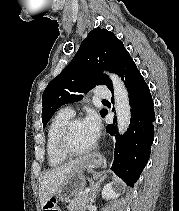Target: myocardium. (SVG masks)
<instances>
[{"instance_id":"f54148a6","label":"myocardium","mask_w":179,"mask_h":211,"mask_svg":"<svg viewBox=\"0 0 179 211\" xmlns=\"http://www.w3.org/2000/svg\"><path fill=\"white\" fill-rule=\"evenodd\" d=\"M82 121L80 117H71L62 127L58 138V149L66 157H79L93 152L97 146L94 142L89 148L84 150H75L71 146V133L76 123Z\"/></svg>"}]
</instances>
